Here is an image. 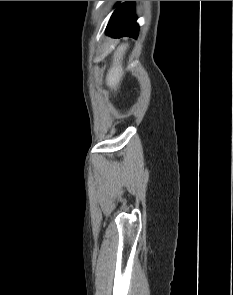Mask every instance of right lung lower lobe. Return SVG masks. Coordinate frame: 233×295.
Returning a JSON list of instances; mask_svg holds the SVG:
<instances>
[{
    "mask_svg": "<svg viewBox=\"0 0 233 295\" xmlns=\"http://www.w3.org/2000/svg\"><path fill=\"white\" fill-rule=\"evenodd\" d=\"M134 1H126L120 4L114 11L107 25L106 33L113 37L138 36L139 26L134 14Z\"/></svg>",
    "mask_w": 233,
    "mask_h": 295,
    "instance_id": "obj_1",
    "label": "right lung lower lobe"
}]
</instances>
